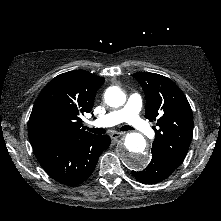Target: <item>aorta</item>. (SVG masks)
Wrapping results in <instances>:
<instances>
[{
    "label": "aorta",
    "instance_id": "aorta-1",
    "mask_svg": "<svg viewBox=\"0 0 221 221\" xmlns=\"http://www.w3.org/2000/svg\"><path fill=\"white\" fill-rule=\"evenodd\" d=\"M125 100V94L118 87H110L105 92V102L110 107H120ZM118 157L131 170L143 169L149 160L145 138L136 132L128 133L123 145L119 147Z\"/></svg>",
    "mask_w": 221,
    "mask_h": 221
}]
</instances>
